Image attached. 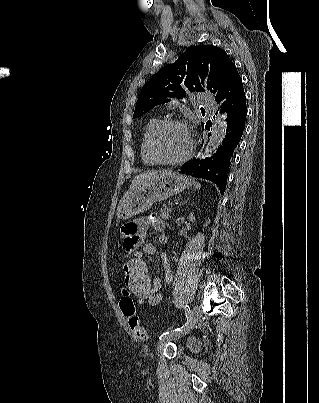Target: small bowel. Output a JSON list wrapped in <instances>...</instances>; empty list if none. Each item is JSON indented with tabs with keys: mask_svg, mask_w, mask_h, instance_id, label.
Wrapping results in <instances>:
<instances>
[{
	"mask_svg": "<svg viewBox=\"0 0 319 403\" xmlns=\"http://www.w3.org/2000/svg\"><path fill=\"white\" fill-rule=\"evenodd\" d=\"M163 228H164V222L162 218H160L158 215L155 214H151L146 219H138L127 224H122L121 237L117 238V241L121 242L122 255L127 256L128 260H133L134 254L129 253V251L130 249H134L135 245H141V258L142 255H153L156 251V247L152 242L147 241V238L153 234H158V242L162 245L167 244L168 242L167 235L161 233ZM135 239L137 240V242H135ZM161 262L164 271L165 281L167 283H171L173 280V273L167 255L164 253L161 254ZM121 296H132L133 303H135V296L131 295L130 291L127 292L121 291ZM161 299H162L161 280L160 278L154 276L153 293L151 296V300H146V302H148V304L151 306H155L159 304Z\"/></svg>",
	"mask_w": 319,
	"mask_h": 403,
	"instance_id": "obj_1",
	"label": "small bowel"
}]
</instances>
